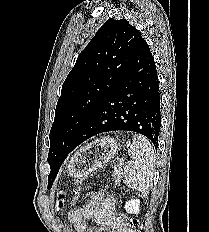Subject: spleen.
Here are the masks:
<instances>
[{
  "label": "spleen",
  "instance_id": "1",
  "mask_svg": "<svg viewBox=\"0 0 209 232\" xmlns=\"http://www.w3.org/2000/svg\"><path fill=\"white\" fill-rule=\"evenodd\" d=\"M131 161L124 169V183L146 195L153 183L155 157L150 142L142 135L135 134L128 149Z\"/></svg>",
  "mask_w": 209,
  "mask_h": 232
}]
</instances>
